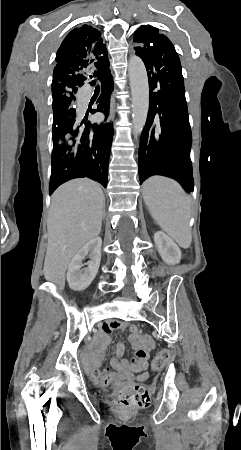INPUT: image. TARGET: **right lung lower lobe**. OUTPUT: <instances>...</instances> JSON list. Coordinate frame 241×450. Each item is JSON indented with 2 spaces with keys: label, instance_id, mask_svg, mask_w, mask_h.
I'll list each match as a JSON object with an SVG mask.
<instances>
[{
  "label": "right lung lower lobe",
  "instance_id": "98d812e1",
  "mask_svg": "<svg viewBox=\"0 0 241 450\" xmlns=\"http://www.w3.org/2000/svg\"><path fill=\"white\" fill-rule=\"evenodd\" d=\"M110 63L96 69L93 76L102 84V92L96 101L95 112L109 113L110 95L113 90V77L109 69ZM85 76L76 78L77 86L83 85ZM92 85L95 82H91ZM77 92V87L76 91ZM76 113L64 115L54 124V131L59 134H71L72 143L54 142L52 151V170L50 177L49 193L62 183L78 178L88 177L104 187L107 186L108 162L113 140V124L77 125Z\"/></svg>",
  "mask_w": 241,
  "mask_h": 450
}]
</instances>
